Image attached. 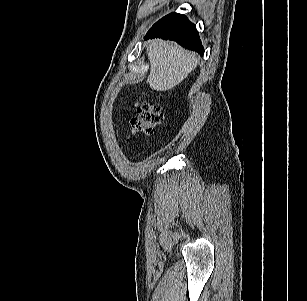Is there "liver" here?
Wrapping results in <instances>:
<instances>
[{
    "instance_id": "1",
    "label": "liver",
    "mask_w": 307,
    "mask_h": 301,
    "mask_svg": "<svg viewBox=\"0 0 307 301\" xmlns=\"http://www.w3.org/2000/svg\"><path fill=\"white\" fill-rule=\"evenodd\" d=\"M150 73L147 83L157 91H166L181 83L197 66L196 55L176 43L152 40L147 45Z\"/></svg>"
}]
</instances>
